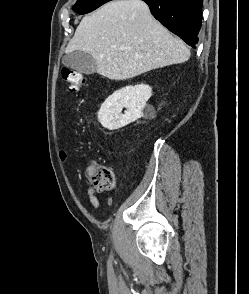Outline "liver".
Returning <instances> with one entry per match:
<instances>
[{
    "instance_id": "obj_1",
    "label": "liver",
    "mask_w": 249,
    "mask_h": 294,
    "mask_svg": "<svg viewBox=\"0 0 249 294\" xmlns=\"http://www.w3.org/2000/svg\"><path fill=\"white\" fill-rule=\"evenodd\" d=\"M89 53L99 75L133 78L153 69L186 62L190 51L157 22L141 0L111 1L78 25L65 53Z\"/></svg>"
}]
</instances>
